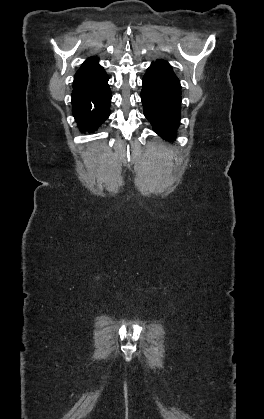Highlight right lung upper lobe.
<instances>
[{
  "mask_svg": "<svg viewBox=\"0 0 264 419\" xmlns=\"http://www.w3.org/2000/svg\"><path fill=\"white\" fill-rule=\"evenodd\" d=\"M105 73L102 66L98 63V58L87 59L80 69L76 72L74 83H89Z\"/></svg>",
  "mask_w": 264,
  "mask_h": 419,
  "instance_id": "cb5924a9",
  "label": "right lung upper lobe"
}]
</instances>
